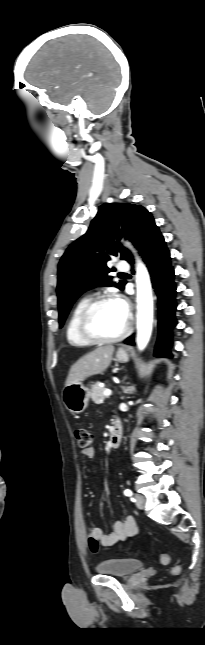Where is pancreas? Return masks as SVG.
I'll use <instances>...</instances> for the list:
<instances>
[{"label": "pancreas", "instance_id": "cf45deb5", "mask_svg": "<svg viewBox=\"0 0 205 645\" xmlns=\"http://www.w3.org/2000/svg\"><path fill=\"white\" fill-rule=\"evenodd\" d=\"M105 390H106V388L105 387H100L98 382L95 383L91 388V398H92V400L97 404L101 403L105 398V396L103 394Z\"/></svg>", "mask_w": 205, "mask_h": 645}]
</instances>
